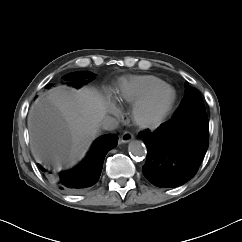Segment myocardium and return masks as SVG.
<instances>
[{
	"mask_svg": "<svg viewBox=\"0 0 242 242\" xmlns=\"http://www.w3.org/2000/svg\"><path fill=\"white\" fill-rule=\"evenodd\" d=\"M165 93H169L170 98L168 103L161 110L160 114L152 120H147L143 118L142 112L145 109H147L150 105H152L158 99V97H160ZM176 101H177V92L174 87L166 84L162 87L154 89L145 97H143L142 99H140L139 101L133 104V107L131 110L132 121L136 126L142 129H150V130L157 129L167 121L168 117L170 116L175 106Z\"/></svg>",
	"mask_w": 242,
	"mask_h": 242,
	"instance_id": "obj_1",
	"label": "myocardium"
}]
</instances>
